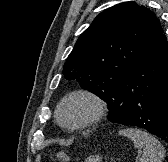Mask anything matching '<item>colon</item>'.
Masks as SVG:
<instances>
[{"label": "colon", "mask_w": 168, "mask_h": 162, "mask_svg": "<svg viewBox=\"0 0 168 162\" xmlns=\"http://www.w3.org/2000/svg\"><path fill=\"white\" fill-rule=\"evenodd\" d=\"M55 159L61 162H69L70 157L63 152H58L55 154Z\"/></svg>", "instance_id": "5ec220e1"}]
</instances>
